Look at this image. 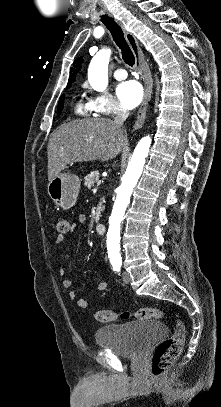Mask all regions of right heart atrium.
<instances>
[{
  "label": "right heart atrium",
  "instance_id": "d8ad5b80",
  "mask_svg": "<svg viewBox=\"0 0 221 407\" xmlns=\"http://www.w3.org/2000/svg\"><path fill=\"white\" fill-rule=\"evenodd\" d=\"M92 110L102 116H112L126 112V108L112 95L104 92L95 93L90 99Z\"/></svg>",
  "mask_w": 221,
  "mask_h": 407
}]
</instances>
